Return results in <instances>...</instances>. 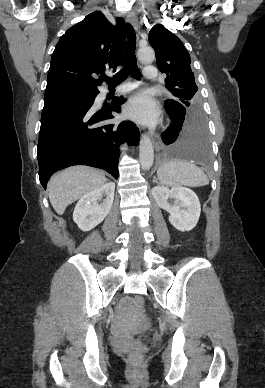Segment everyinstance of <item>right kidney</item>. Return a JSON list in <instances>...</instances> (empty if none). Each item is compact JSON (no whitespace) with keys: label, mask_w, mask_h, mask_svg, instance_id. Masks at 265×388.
<instances>
[{"label":"right kidney","mask_w":265,"mask_h":388,"mask_svg":"<svg viewBox=\"0 0 265 388\" xmlns=\"http://www.w3.org/2000/svg\"><path fill=\"white\" fill-rule=\"evenodd\" d=\"M114 192V182H108L80 198L73 212V220L82 232H89L103 222L113 206ZM103 196H105L103 204H98L97 200Z\"/></svg>","instance_id":"1"}]
</instances>
